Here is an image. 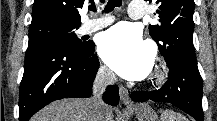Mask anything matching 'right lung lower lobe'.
Listing matches in <instances>:
<instances>
[{"instance_id": "98d812e1", "label": "right lung lower lobe", "mask_w": 217, "mask_h": 121, "mask_svg": "<svg viewBox=\"0 0 217 121\" xmlns=\"http://www.w3.org/2000/svg\"><path fill=\"white\" fill-rule=\"evenodd\" d=\"M94 47L90 41L78 48L59 43L28 48L19 92V121H28L52 101L91 96L99 67ZM103 98L117 105L118 86H108Z\"/></svg>"}]
</instances>
